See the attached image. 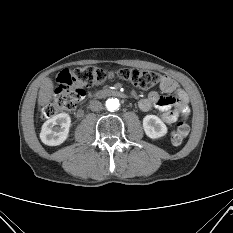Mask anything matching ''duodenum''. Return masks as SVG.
<instances>
[{"label":"duodenum","instance_id":"duodenum-1","mask_svg":"<svg viewBox=\"0 0 233 233\" xmlns=\"http://www.w3.org/2000/svg\"><path fill=\"white\" fill-rule=\"evenodd\" d=\"M109 96H118V97H125V95L118 91V90H111V89H104V90H99L93 94L94 99H100V98H105Z\"/></svg>","mask_w":233,"mask_h":233}]
</instances>
